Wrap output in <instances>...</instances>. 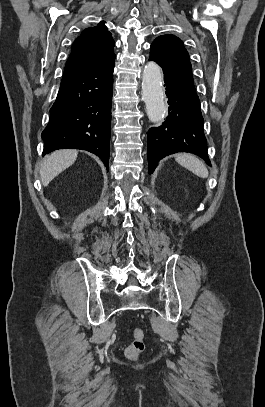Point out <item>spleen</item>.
<instances>
[{
	"label": "spleen",
	"instance_id": "spleen-1",
	"mask_svg": "<svg viewBox=\"0 0 265 407\" xmlns=\"http://www.w3.org/2000/svg\"><path fill=\"white\" fill-rule=\"evenodd\" d=\"M175 159L180 165L192 171L195 175L201 178L208 177V170L206 166L197 157L190 154H178Z\"/></svg>",
	"mask_w": 265,
	"mask_h": 407
}]
</instances>
